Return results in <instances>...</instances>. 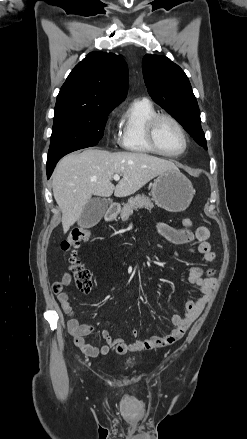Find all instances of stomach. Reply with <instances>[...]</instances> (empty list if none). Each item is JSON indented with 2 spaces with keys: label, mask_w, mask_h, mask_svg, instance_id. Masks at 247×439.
<instances>
[{
  "label": "stomach",
  "mask_w": 247,
  "mask_h": 439,
  "mask_svg": "<svg viewBox=\"0 0 247 439\" xmlns=\"http://www.w3.org/2000/svg\"><path fill=\"white\" fill-rule=\"evenodd\" d=\"M194 193L192 183L179 169L159 174L151 190L153 201L169 212H181L187 209Z\"/></svg>",
  "instance_id": "obj_1"
}]
</instances>
